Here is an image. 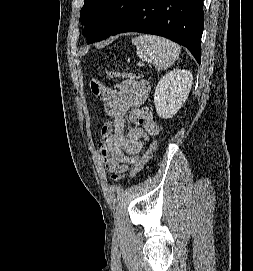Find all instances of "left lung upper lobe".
Segmentation results:
<instances>
[{
	"instance_id": "obj_1",
	"label": "left lung upper lobe",
	"mask_w": 253,
	"mask_h": 271,
	"mask_svg": "<svg viewBox=\"0 0 253 271\" xmlns=\"http://www.w3.org/2000/svg\"><path fill=\"white\" fill-rule=\"evenodd\" d=\"M133 0H85L80 20L86 25L84 35L88 43L109 37L124 21Z\"/></svg>"
}]
</instances>
